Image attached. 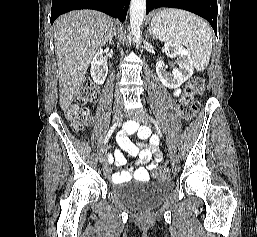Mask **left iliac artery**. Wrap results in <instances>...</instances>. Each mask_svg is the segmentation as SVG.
<instances>
[{"label": "left iliac artery", "instance_id": "1", "mask_svg": "<svg viewBox=\"0 0 257 237\" xmlns=\"http://www.w3.org/2000/svg\"><path fill=\"white\" fill-rule=\"evenodd\" d=\"M150 120L157 126V122L152 117H150Z\"/></svg>", "mask_w": 257, "mask_h": 237}]
</instances>
